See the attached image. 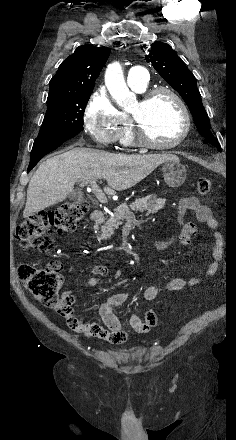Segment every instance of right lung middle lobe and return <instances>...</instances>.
Masks as SVG:
<instances>
[{"mask_svg":"<svg viewBox=\"0 0 236 440\" xmlns=\"http://www.w3.org/2000/svg\"><path fill=\"white\" fill-rule=\"evenodd\" d=\"M91 93L47 103V112L36 139L76 135L83 130V115Z\"/></svg>","mask_w":236,"mask_h":440,"instance_id":"right-lung-middle-lobe-1","label":"right lung middle lobe"}]
</instances>
